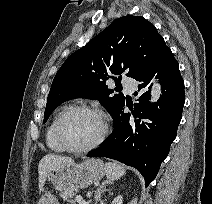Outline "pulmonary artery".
Returning <instances> with one entry per match:
<instances>
[{
  "label": "pulmonary artery",
  "instance_id": "e3ab8cb5",
  "mask_svg": "<svg viewBox=\"0 0 212 204\" xmlns=\"http://www.w3.org/2000/svg\"><path fill=\"white\" fill-rule=\"evenodd\" d=\"M122 83L129 92H133V90L135 89L136 82L132 78H123Z\"/></svg>",
  "mask_w": 212,
  "mask_h": 204
}]
</instances>
